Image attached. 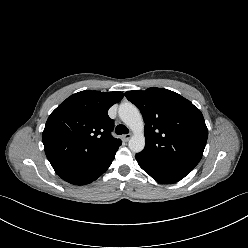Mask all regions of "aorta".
<instances>
[{
	"instance_id": "aorta-1",
	"label": "aorta",
	"mask_w": 248,
	"mask_h": 248,
	"mask_svg": "<svg viewBox=\"0 0 248 248\" xmlns=\"http://www.w3.org/2000/svg\"><path fill=\"white\" fill-rule=\"evenodd\" d=\"M121 120L132 130L128 146L132 152H141L145 147L144 122L138 108L131 103H122L118 110Z\"/></svg>"
}]
</instances>
